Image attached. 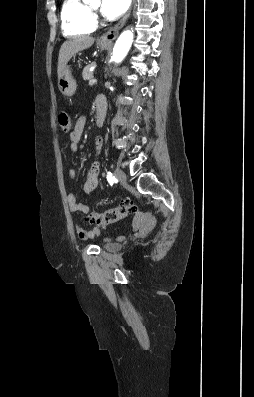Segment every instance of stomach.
<instances>
[{
    "label": "stomach",
    "instance_id": "1",
    "mask_svg": "<svg viewBox=\"0 0 254 397\" xmlns=\"http://www.w3.org/2000/svg\"><path fill=\"white\" fill-rule=\"evenodd\" d=\"M110 43L98 42L100 49L104 50L110 47ZM58 88L65 96H72L77 88V83L72 76L70 66H65L58 77Z\"/></svg>",
    "mask_w": 254,
    "mask_h": 397
}]
</instances>
